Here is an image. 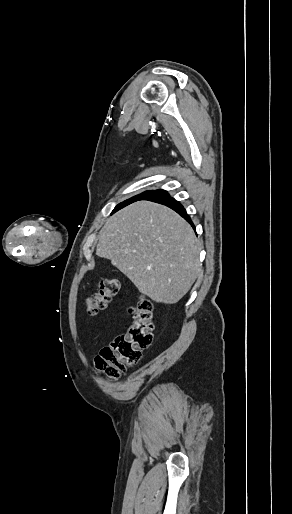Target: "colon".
Returning <instances> with one entry per match:
<instances>
[{"mask_svg":"<svg viewBox=\"0 0 292 514\" xmlns=\"http://www.w3.org/2000/svg\"><path fill=\"white\" fill-rule=\"evenodd\" d=\"M119 291L118 279H102L98 292L87 299L89 313L96 315L105 310ZM130 309L132 320L127 331L102 348L94 359L96 369L108 378L120 377L127 368L139 362L143 351L151 346L154 338L151 302L140 298Z\"/></svg>","mask_w":292,"mask_h":514,"instance_id":"5ec220e1","label":"colon"}]
</instances>
